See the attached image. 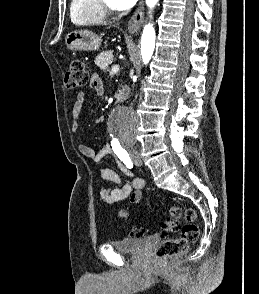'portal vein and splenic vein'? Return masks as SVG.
<instances>
[{
  "instance_id": "18ae733b",
  "label": "portal vein and splenic vein",
  "mask_w": 259,
  "mask_h": 294,
  "mask_svg": "<svg viewBox=\"0 0 259 294\" xmlns=\"http://www.w3.org/2000/svg\"><path fill=\"white\" fill-rule=\"evenodd\" d=\"M119 71V65H113L112 66V72L117 73Z\"/></svg>"
}]
</instances>
